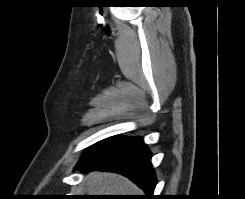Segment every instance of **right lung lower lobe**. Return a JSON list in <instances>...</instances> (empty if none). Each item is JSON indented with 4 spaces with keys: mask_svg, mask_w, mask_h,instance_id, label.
I'll return each instance as SVG.
<instances>
[{
    "mask_svg": "<svg viewBox=\"0 0 245 199\" xmlns=\"http://www.w3.org/2000/svg\"><path fill=\"white\" fill-rule=\"evenodd\" d=\"M151 157L141 137L113 136L89 147L76 169L122 174L146 193L144 199H155L153 190L157 182L150 162Z\"/></svg>",
    "mask_w": 245,
    "mask_h": 199,
    "instance_id": "right-lung-lower-lobe-1",
    "label": "right lung lower lobe"
}]
</instances>
